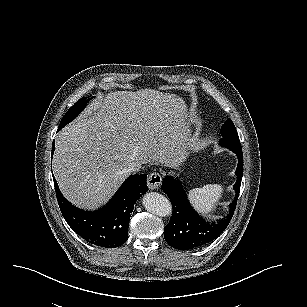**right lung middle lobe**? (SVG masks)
<instances>
[{"mask_svg": "<svg viewBox=\"0 0 307 307\" xmlns=\"http://www.w3.org/2000/svg\"><path fill=\"white\" fill-rule=\"evenodd\" d=\"M88 101L89 100H86L84 97L79 99L64 115L57 131L61 130L66 124L71 122L83 110Z\"/></svg>", "mask_w": 307, "mask_h": 307, "instance_id": "dd1d6c3e", "label": "right lung middle lobe"}]
</instances>
